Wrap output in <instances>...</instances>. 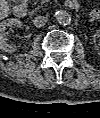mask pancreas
<instances>
[{
	"label": "pancreas",
	"mask_w": 100,
	"mask_h": 118,
	"mask_svg": "<svg viewBox=\"0 0 100 118\" xmlns=\"http://www.w3.org/2000/svg\"><path fill=\"white\" fill-rule=\"evenodd\" d=\"M45 1H48V0H41V4L44 3ZM40 6H38L36 9H39Z\"/></svg>",
	"instance_id": "1"
}]
</instances>
